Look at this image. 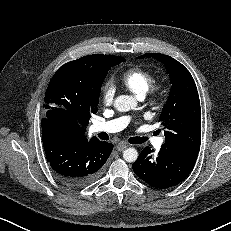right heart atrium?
<instances>
[{"label": "right heart atrium", "mask_w": 231, "mask_h": 231, "mask_svg": "<svg viewBox=\"0 0 231 231\" xmlns=\"http://www.w3.org/2000/svg\"><path fill=\"white\" fill-rule=\"evenodd\" d=\"M115 95V88L112 83L105 82L100 91L101 101L104 104H110L113 101Z\"/></svg>", "instance_id": "1"}]
</instances>
